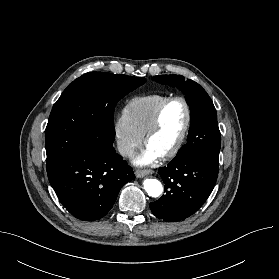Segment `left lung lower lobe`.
Instances as JSON below:
<instances>
[{
    "label": "left lung lower lobe",
    "instance_id": "1",
    "mask_svg": "<svg viewBox=\"0 0 279 279\" xmlns=\"http://www.w3.org/2000/svg\"><path fill=\"white\" fill-rule=\"evenodd\" d=\"M219 164L195 154L176 156L159 169L165 194L150 203L152 213L164 221H181L194 214L213 190Z\"/></svg>",
    "mask_w": 279,
    "mask_h": 279
}]
</instances>
